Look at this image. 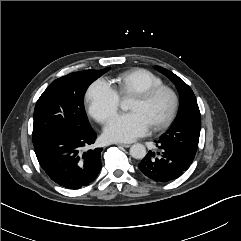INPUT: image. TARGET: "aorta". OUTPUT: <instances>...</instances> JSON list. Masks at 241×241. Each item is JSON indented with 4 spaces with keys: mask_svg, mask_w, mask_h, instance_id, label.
I'll return each instance as SVG.
<instances>
[{
    "mask_svg": "<svg viewBox=\"0 0 241 241\" xmlns=\"http://www.w3.org/2000/svg\"><path fill=\"white\" fill-rule=\"evenodd\" d=\"M122 110H128L129 103L124 100L121 102ZM130 155L135 159H143L146 156V148L143 144L137 143L131 146Z\"/></svg>",
    "mask_w": 241,
    "mask_h": 241,
    "instance_id": "762f6f07",
    "label": "aorta"
}]
</instances>
